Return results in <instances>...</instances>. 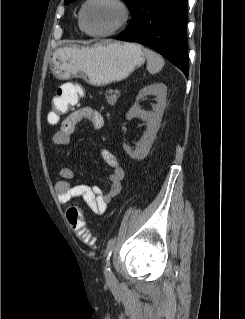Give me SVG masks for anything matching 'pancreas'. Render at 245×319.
<instances>
[{
	"mask_svg": "<svg viewBox=\"0 0 245 319\" xmlns=\"http://www.w3.org/2000/svg\"><path fill=\"white\" fill-rule=\"evenodd\" d=\"M120 97V94H113V90L106 91V99L110 105H114L117 102V99Z\"/></svg>",
	"mask_w": 245,
	"mask_h": 319,
	"instance_id": "cf45deb5",
	"label": "pancreas"
}]
</instances>
